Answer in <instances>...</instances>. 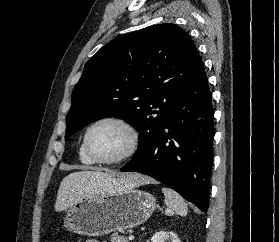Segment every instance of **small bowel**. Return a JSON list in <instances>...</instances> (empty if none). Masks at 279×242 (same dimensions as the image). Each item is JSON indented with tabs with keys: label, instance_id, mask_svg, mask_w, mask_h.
Returning a JSON list of instances; mask_svg holds the SVG:
<instances>
[{
	"label": "small bowel",
	"instance_id": "1",
	"mask_svg": "<svg viewBox=\"0 0 279 242\" xmlns=\"http://www.w3.org/2000/svg\"><path fill=\"white\" fill-rule=\"evenodd\" d=\"M86 242H99L97 240H87Z\"/></svg>",
	"mask_w": 279,
	"mask_h": 242
}]
</instances>
